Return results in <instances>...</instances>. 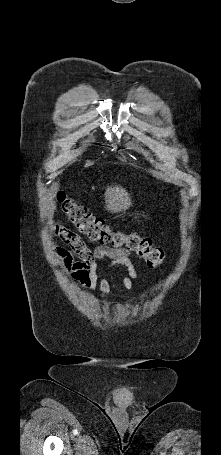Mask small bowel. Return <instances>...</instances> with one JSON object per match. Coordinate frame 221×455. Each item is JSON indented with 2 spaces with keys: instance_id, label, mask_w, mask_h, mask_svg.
Masks as SVG:
<instances>
[{
  "instance_id": "c3829d8e",
  "label": "small bowel",
  "mask_w": 221,
  "mask_h": 455,
  "mask_svg": "<svg viewBox=\"0 0 221 455\" xmlns=\"http://www.w3.org/2000/svg\"><path fill=\"white\" fill-rule=\"evenodd\" d=\"M52 232L68 246L54 249V254L62 262V273L70 274L84 290L96 292L100 297L109 292V281L97 272L99 266L106 261H110L112 266L125 267L128 275L122 277L123 286L127 290L133 288L137 271L128 251L101 246L90 248L79 236L62 225L54 226Z\"/></svg>"
}]
</instances>
